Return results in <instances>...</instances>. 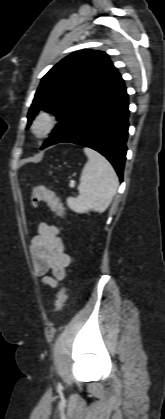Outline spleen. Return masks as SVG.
Segmentation results:
<instances>
[{
    "label": "spleen",
    "mask_w": 165,
    "mask_h": 419,
    "mask_svg": "<svg viewBox=\"0 0 165 419\" xmlns=\"http://www.w3.org/2000/svg\"><path fill=\"white\" fill-rule=\"evenodd\" d=\"M88 157L81 177L79 196L67 198L68 207L78 213L104 212L118 188V177L108 160L91 148H84Z\"/></svg>",
    "instance_id": "3e777b00"
}]
</instances>
